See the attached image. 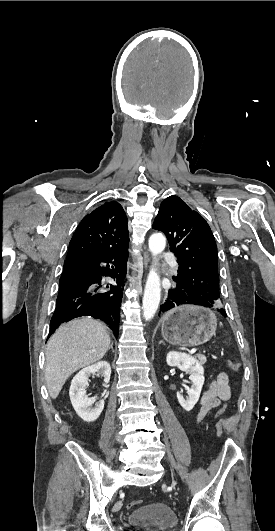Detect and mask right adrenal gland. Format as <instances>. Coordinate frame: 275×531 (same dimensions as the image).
<instances>
[{
	"label": "right adrenal gland",
	"mask_w": 275,
	"mask_h": 531,
	"mask_svg": "<svg viewBox=\"0 0 275 531\" xmlns=\"http://www.w3.org/2000/svg\"><path fill=\"white\" fill-rule=\"evenodd\" d=\"M113 345H114V343H113V341H111V345H110L109 349H112V353H115V351L113 349ZM109 349H108V351H109Z\"/></svg>",
	"instance_id": "2a0ac1e0"
}]
</instances>
